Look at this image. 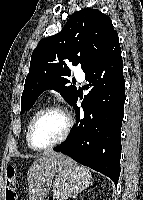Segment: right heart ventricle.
Instances as JSON below:
<instances>
[{
    "label": "right heart ventricle",
    "mask_w": 143,
    "mask_h": 200,
    "mask_svg": "<svg viewBox=\"0 0 143 200\" xmlns=\"http://www.w3.org/2000/svg\"><path fill=\"white\" fill-rule=\"evenodd\" d=\"M42 109L41 108H37L33 114L31 115V117L29 118L28 120V123H27V126H26V141H27V130H28V127H29V124L30 122L32 121V119L41 111ZM28 144V143H27ZM29 146V145H28Z\"/></svg>",
    "instance_id": "e07e8e85"
}]
</instances>
